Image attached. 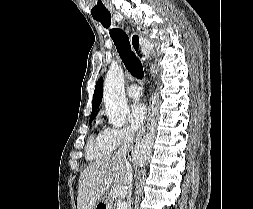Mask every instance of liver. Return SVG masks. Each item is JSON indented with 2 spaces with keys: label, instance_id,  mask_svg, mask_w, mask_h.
Masks as SVG:
<instances>
[{
  "label": "liver",
  "instance_id": "1",
  "mask_svg": "<svg viewBox=\"0 0 253 209\" xmlns=\"http://www.w3.org/2000/svg\"><path fill=\"white\" fill-rule=\"evenodd\" d=\"M128 174L126 163L115 156L90 164L79 177L77 209H95L109 190L112 195H129ZM116 187L121 188L118 194H114Z\"/></svg>",
  "mask_w": 253,
  "mask_h": 209
}]
</instances>
